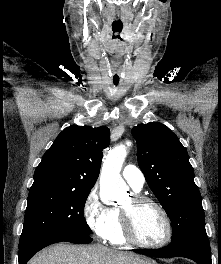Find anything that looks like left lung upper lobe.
<instances>
[{
    "label": "left lung upper lobe",
    "mask_w": 221,
    "mask_h": 264,
    "mask_svg": "<svg viewBox=\"0 0 221 264\" xmlns=\"http://www.w3.org/2000/svg\"><path fill=\"white\" fill-rule=\"evenodd\" d=\"M138 164L147 184L172 223V241L206 235L201 194L186 149L164 124L150 122L132 129Z\"/></svg>",
    "instance_id": "1"
}]
</instances>
